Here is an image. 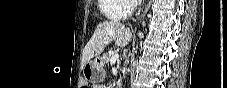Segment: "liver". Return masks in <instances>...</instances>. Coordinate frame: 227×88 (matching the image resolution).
<instances>
[{
    "label": "liver",
    "instance_id": "obj_1",
    "mask_svg": "<svg viewBox=\"0 0 227 88\" xmlns=\"http://www.w3.org/2000/svg\"><path fill=\"white\" fill-rule=\"evenodd\" d=\"M132 32L122 23L105 21L97 25L91 39L85 46L82 54V64L85 65L94 56L100 55L105 47L115 41L119 47H125L131 41Z\"/></svg>",
    "mask_w": 227,
    "mask_h": 88
}]
</instances>
